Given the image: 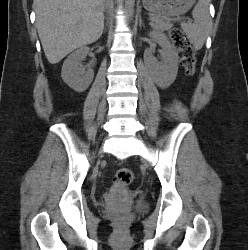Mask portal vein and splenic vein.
<instances>
[{"label":"portal vein and splenic vein","mask_w":248,"mask_h":250,"mask_svg":"<svg viewBox=\"0 0 248 250\" xmlns=\"http://www.w3.org/2000/svg\"><path fill=\"white\" fill-rule=\"evenodd\" d=\"M156 19H158V17L152 16L150 17L151 21H155ZM192 20H188V23H191Z\"/></svg>","instance_id":"18ae733b"}]
</instances>
